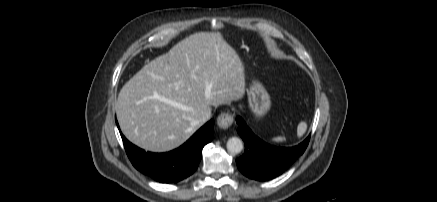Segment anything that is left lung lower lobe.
<instances>
[{"label": "left lung lower lobe", "instance_id": "obj_1", "mask_svg": "<svg viewBox=\"0 0 437 202\" xmlns=\"http://www.w3.org/2000/svg\"><path fill=\"white\" fill-rule=\"evenodd\" d=\"M236 121L237 132L246 146L244 154L236 160L237 167L245 176L258 181L281 175L304 153L310 140L308 136L299 145L289 148L271 146L255 136L241 117Z\"/></svg>", "mask_w": 437, "mask_h": 202}]
</instances>
